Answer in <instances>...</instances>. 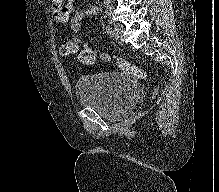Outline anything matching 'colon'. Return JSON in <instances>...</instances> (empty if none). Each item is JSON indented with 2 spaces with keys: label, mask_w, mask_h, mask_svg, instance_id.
Masks as SVG:
<instances>
[{
  "label": "colon",
  "mask_w": 219,
  "mask_h": 192,
  "mask_svg": "<svg viewBox=\"0 0 219 192\" xmlns=\"http://www.w3.org/2000/svg\"><path fill=\"white\" fill-rule=\"evenodd\" d=\"M76 51H77V44L74 39L65 41L61 46V52L64 55H71L74 54ZM104 55H105L104 60L115 62V64L126 74L134 76L138 79H145L147 77V73L143 69L136 67L129 61L109 54H104ZM96 60H97V54L93 47L86 46L79 53V61L82 64L91 66L96 62ZM156 93L157 91L155 92V94Z\"/></svg>",
  "instance_id": "5ec220e1"
}]
</instances>
